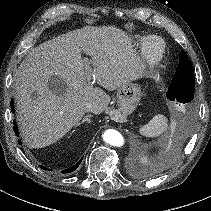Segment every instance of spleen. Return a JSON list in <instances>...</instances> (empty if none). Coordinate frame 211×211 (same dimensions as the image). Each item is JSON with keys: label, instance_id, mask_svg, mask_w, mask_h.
<instances>
[{"label": "spleen", "instance_id": "obj_1", "mask_svg": "<svg viewBox=\"0 0 211 211\" xmlns=\"http://www.w3.org/2000/svg\"><path fill=\"white\" fill-rule=\"evenodd\" d=\"M168 128V119L162 115H155L146 125L140 128V133L146 137H157Z\"/></svg>", "mask_w": 211, "mask_h": 211}]
</instances>
